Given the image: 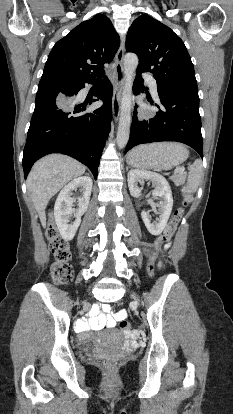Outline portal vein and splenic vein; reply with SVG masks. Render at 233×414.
<instances>
[{"label": "portal vein and splenic vein", "mask_w": 233, "mask_h": 414, "mask_svg": "<svg viewBox=\"0 0 233 414\" xmlns=\"http://www.w3.org/2000/svg\"><path fill=\"white\" fill-rule=\"evenodd\" d=\"M176 171L182 173L184 171V167H181V168L177 169Z\"/></svg>", "instance_id": "1"}]
</instances>
